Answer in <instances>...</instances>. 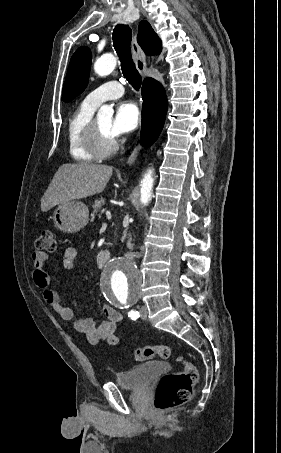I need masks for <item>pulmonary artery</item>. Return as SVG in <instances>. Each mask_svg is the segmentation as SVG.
<instances>
[{
	"label": "pulmonary artery",
	"instance_id": "e3ab8cb5",
	"mask_svg": "<svg viewBox=\"0 0 281 453\" xmlns=\"http://www.w3.org/2000/svg\"><path fill=\"white\" fill-rule=\"evenodd\" d=\"M124 94V88L122 84L116 80L108 81L101 84L96 90L91 92L86 99L96 105H100L102 102L114 99Z\"/></svg>",
	"mask_w": 281,
	"mask_h": 453
}]
</instances>
